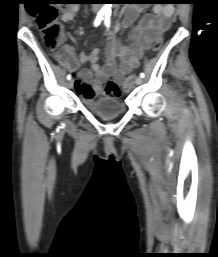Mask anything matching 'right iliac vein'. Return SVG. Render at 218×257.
<instances>
[{"mask_svg":"<svg viewBox=\"0 0 218 257\" xmlns=\"http://www.w3.org/2000/svg\"><path fill=\"white\" fill-rule=\"evenodd\" d=\"M73 86H74L73 80H69V82H68V87H69V88H73Z\"/></svg>","mask_w":218,"mask_h":257,"instance_id":"1","label":"right iliac vein"}]
</instances>
